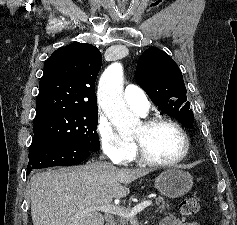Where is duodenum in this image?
Listing matches in <instances>:
<instances>
[{"label": "duodenum", "instance_id": "1", "mask_svg": "<svg viewBox=\"0 0 237 225\" xmlns=\"http://www.w3.org/2000/svg\"><path fill=\"white\" fill-rule=\"evenodd\" d=\"M108 225H116V222L112 221Z\"/></svg>", "mask_w": 237, "mask_h": 225}]
</instances>
